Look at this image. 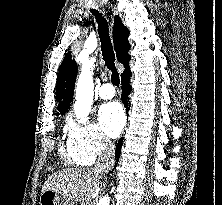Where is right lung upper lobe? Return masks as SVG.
Returning <instances> with one entry per match:
<instances>
[{"label":"right lung upper lobe","instance_id":"cb5924a9","mask_svg":"<svg viewBox=\"0 0 222 205\" xmlns=\"http://www.w3.org/2000/svg\"><path fill=\"white\" fill-rule=\"evenodd\" d=\"M128 35V28L123 25L120 17L116 15L113 28V41L117 59L125 67L121 77L131 72L129 67L130 56L128 55V51L131 46L127 39ZM76 76L77 64L75 60L72 59L71 53L68 52L59 68L56 87L55 97L57 102H59L58 111L61 115L67 111L72 101ZM59 113L56 115H59Z\"/></svg>","mask_w":222,"mask_h":205}]
</instances>
